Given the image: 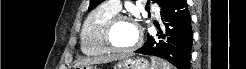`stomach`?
I'll return each instance as SVG.
<instances>
[{"instance_id": "1", "label": "stomach", "mask_w": 246, "mask_h": 69, "mask_svg": "<svg viewBox=\"0 0 246 69\" xmlns=\"http://www.w3.org/2000/svg\"><path fill=\"white\" fill-rule=\"evenodd\" d=\"M77 69H97L92 64L77 67ZM114 69H151L148 61L144 58H125L115 66Z\"/></svg>"}]
</instances>
